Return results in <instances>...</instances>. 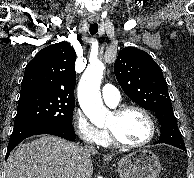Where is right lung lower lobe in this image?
<instances>
[{"mask_svg":"<svg viewBox=\"0 0 194 178\" xmlns=\"http://www.w3.org/2000/svg\"><path fill=\"white\" fill-rule=\"evenodd\" d=\"M39 134L56 135L69 141H74L76 138L73 129L59 128L45 123L30 122L14 125V129L10 136L9 144L7 147L6 158L21 141L30 136Z\"/></svg>","mask_w":194,"mask_h":178,"instance_id":"right-lung-lower-lobe-1","label":"right lung lower lobe"}]
</instances>
